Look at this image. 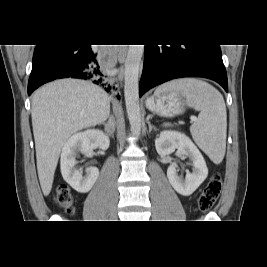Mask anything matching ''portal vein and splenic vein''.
I'll return each mask as SVG.
<instances>
[{
    "mask_svg": "<svg viewBox=\"0 0 267 267\" xmlns=\"http://www.w3.org/2000/svg\"><path fill=\"white\" fill-rule=\"evenodd\" d=\"M191 120L196 121L197 119H196V117L192 116Z\"/></svg>",
    "mask_w": 267,
    "mask_h": 267,
    "instance_id": "1",
    "label": "portal vein and splenic vein"
}]
</instances>
